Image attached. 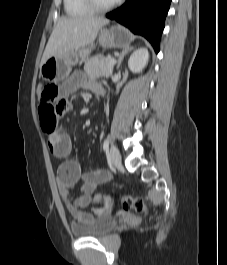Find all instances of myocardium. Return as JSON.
Wrapping results in <instances>:
<instances>
[{"label": "myocardium", "mask_w": 227, "mask_h": 265, "mask_svg": "<svg viewBox=\"0 0 227 265\" xmlns=\"http://www.w3.org/2000/svg\"><path fill=\"white\" fill-rule=\"evenodd\" d=\"M93 12H105L114 8L121 0H115L107 5H100L97 0H83Z\"/></svg>", "instance_id": "myocardium-1"}]
</instances>
